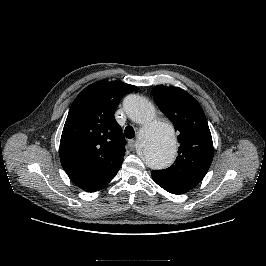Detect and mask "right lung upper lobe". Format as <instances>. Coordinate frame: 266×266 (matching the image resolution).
Listing matches in <instances>:
<instances>
[{
    "label": "right lung upper lobe",
    "instance_id": "cb5924a9",
    "mask_svg": "<svg viewBox=\"0 0 266 266\" xmlns=\"http://www.w3.org/2000/svg\"><path fill=\"white\" fill-rule=\"evenodd\" d=\"M136 86L98 81L72 103L60 140V161L69 178L87 192L107 185L119 171L125 138L114 113Z\"/></svg>",
    "mask_w": 266,
    "mask_h": 266
}]
</instances>
